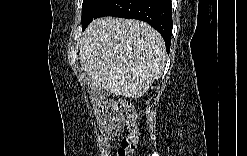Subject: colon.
<instances>
[{
    "instance_id": "5ec220e1",
    "label": "colon",
    "mask_w": 247,
    "mask_h": 156,
    "mask_svg": "<svg viewBox=\"0 0 247 156\" xmlns=\"http://www.w3.org/2000/svg\"><path fill=\"white\" fill-rule=\"evenodd\" d=\"M117 117L126 128V134L118 147L117 156H127L133 153L138 141L136 115L128 101L122 100L120 102Z\"/></svg>"
}]
</instances>
